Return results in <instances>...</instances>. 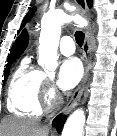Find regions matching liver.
Here are the masks:
<instances>
[{
  "label": "liver",
  "mask_w": 117,
  "mask_h": 136,
  "mask_svg": "<svg viewBox=\"0 0 117 136\" xmlns=\"http://www.w3.org/2000/svg\"><path fill=\"white\" fill-rule=\"evenodd\" d=\"M4 136H48L47 127L31 120L8 118L2 122Z\"/></svg>",
  "instance_id": "obj_1"
}]
</instances>
